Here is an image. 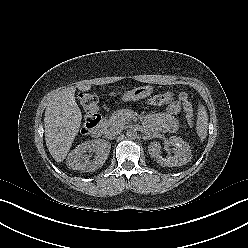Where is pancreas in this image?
Returning a JSON list of instances; mask_svg holds the SVG:
<instances>
[{
	"label": "pancreas",
	"mask_w": 248,
	"mask_h": 248,
	"mask_svg": "<svg viewBox=\"0 0 248 248\" xmlns=\"http://www.w3.org/2000/svg\"><path fill=\"white\" fill-rule=\"evenodd\" d=\"M129 110L120 109L115 111L112 116L106 121L107 126L113 127H124L130 121V117L127 116Z\"/></svg>",
	"instance_id": "pancreas-1"
}]
</instances>
